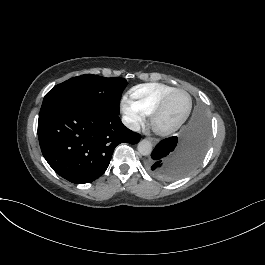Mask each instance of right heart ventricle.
I'll use <instances>...</instances> for the list:
<instances>
[{
	"label": "right heart ventricle",
	"mask_w": 265,
	"mask_h": 265,
	"mask_svg": "<svg viewBox=\"0 0 265 265\" xmlns=\"http://www.w3.org/2000/svg\"><path fill=\"white\" fill-rule=\"evenodd\" d=\"M175 88L161 84H146L131 91L135 104L145 115H152L158 102Z\"/></svg>",
	"instance_id": "e07e8e85"
}]
</instances>
